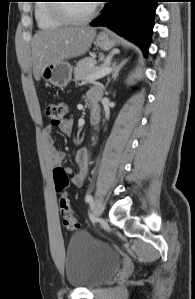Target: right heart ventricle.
Listing matches in <instances>:
<instances>
[{"mask_svg":"<svg viewBox=\"0 0 195 299\" xmlns=\"http://www.w3.org/2000/svg\"><path fill=\"white\" fill-rule=\"evenodd\" d=\"M52 0H39L35 4L34 17L39 28L52 29L58 28L66 24L63 20L58 18L53 10Z\"/></svg>","mask_w":195,"mask_h":299,"instance_id":"1","label":"right heart ventricle"}]
</instances>
